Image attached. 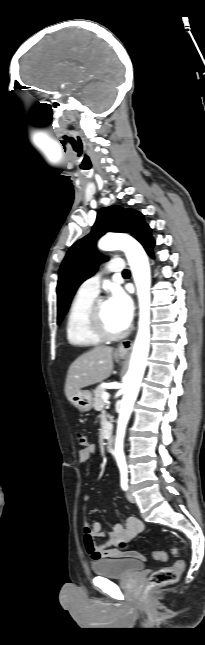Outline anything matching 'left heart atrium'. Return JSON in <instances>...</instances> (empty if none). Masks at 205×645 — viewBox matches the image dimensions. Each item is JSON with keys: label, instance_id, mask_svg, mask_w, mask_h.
<instances>
[{"label": "left heart atrium", "instance_id": "39dd6f15", "mask_svg": "<svg viewBox=\"0 0 205 645\" xmlns=\"http://www.w3.org/2000/svg\"><path fill=\"white\" fill-rule=\"evenodd\" d=\"M107 302L121 328L126 329L132 321L134 312L131 297L120 287H113Z\"/></svg>", "mask_w": 205, "mask_h": 645}]
</instances>
